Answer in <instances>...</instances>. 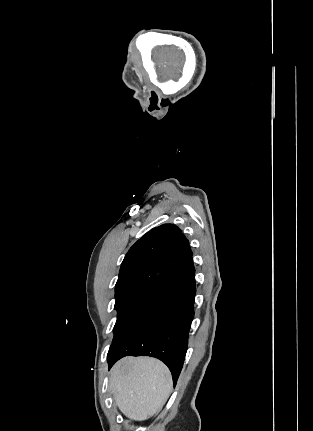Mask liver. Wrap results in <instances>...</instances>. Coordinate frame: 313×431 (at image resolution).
I'll return each instance as SVG.
<instances>
[{
    "mask_svg": "<svg viewBox=\"0 0 313 431\" xmlns=\"http://www.w3.org/2000/svg\"><path fill=\"white\" fill-rule=\"evenodd\" d=\"M109 388L126 417L143 421L163 407L172 378L167 366L155 358L125 357L113 366Z\"/></svg>",
    "mask_w": 313,
    "mask_h": 431,
    "instance_id": "1",
    "label": "liver"
}]
</instances>
